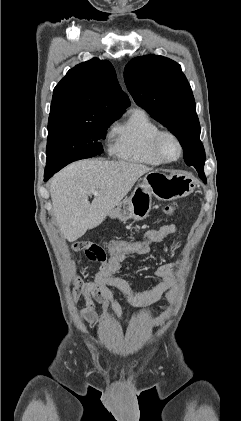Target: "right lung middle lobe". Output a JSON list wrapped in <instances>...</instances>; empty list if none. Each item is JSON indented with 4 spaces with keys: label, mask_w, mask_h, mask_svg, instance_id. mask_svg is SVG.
Wrapping results in <instances>:
<instances>
[{
    "label": "right lung middle lobe",
    "mask_w": 241,
    "mask_h": 421,
    "mask_svg": "<svg viewBox=\"0 0 241 421\" xmlns=\"http://www.w3.org/2000/svg\"><path fill=\"white\" fill-rule=\"evenodd\" d=\"M117 116L82 119L67 116H49L46 169L60 170L67 164L100 155L109 125Z\"/></svg>",
    "instance_id": "dd1d6c3e"
}]
</instances>
